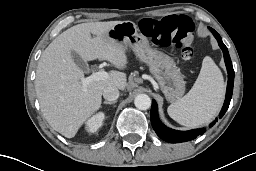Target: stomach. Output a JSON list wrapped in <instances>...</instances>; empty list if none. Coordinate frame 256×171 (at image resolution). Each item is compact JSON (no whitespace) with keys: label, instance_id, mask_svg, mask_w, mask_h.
Wrapping results in <instances>:
<instances>
[{"label":"stomach","instance_id":"1","mask_svg":"<svg viewBox=\"0 0 256 171\" xmlns=\"http://www.w3.org/2000/svg\"><path fill=\"white\" fill-rule=\"evenodd\" d=\"M106 37L124 48L130 47L136 56L149 66L150 73L169 102L178 101L185 92V81L174 60L167 54L151 48L146 36L132 21H122L106 33Z\"/></svg>","mask_w":256,"mask_h":171}]
</instances>
